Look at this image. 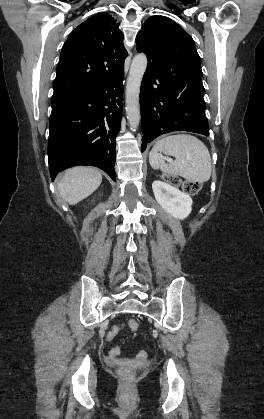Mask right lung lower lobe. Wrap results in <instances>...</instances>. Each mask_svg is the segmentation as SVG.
<instances>
[{
	"label": "right lung lower lobe",
	"instance_id": "obj_1",
	"mask_svg": "<svg viewBox=\"0 0 264 419\" xmlns=\"http://www.w3.org/2000/svg\"><path fill=\"white\" fill-rule=\"evenodd\" d=\"M123 76L96 88L52 96L48 162L51 179L69 167L91 165L115 181V138L122 117Z\"/></svg>",
	"mask_w": 264,
	"mask_h": 419
}]
</instances>
